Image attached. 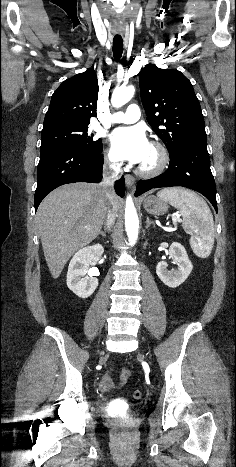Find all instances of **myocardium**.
<instances>
[{
  "label": "myocardium",
  "mask_w": 236,
  "mask_h": 467,
  "mask_svg": "<svg viewBox=\"0 0 236 467\" xmlns=\"http://www.w3.org/2000/svg\"><path fill=\"white\" fill-rule=\"evenodd\" d=\"M150 146L157 154V161L152 167L140 165L137 172L144 177H155L163 173L170 163V155L166 146L159 141H152Z\"/></svg>",
  "instance_id": "f54148a6"
}]
</instances>
